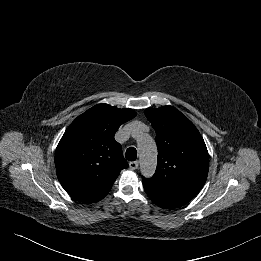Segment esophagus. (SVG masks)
I'll list each match as a JSON object with an SVG mask.
<instances>
[{"instance_id":"34e87169","label":"esophagus","mask_w":261,"mask_h":261,"mask_svg":"<svg viewBox=\"0 0 261 261\" xmlns=\"http://www.w3.org/2000/svg\"><path fill=\"white\" fill-rule=\"evenodd\" d=\"M138 161H133V162H130L129 163V167L132 169V170H136L138 168Z\"/></svg>"}]
</instances>
